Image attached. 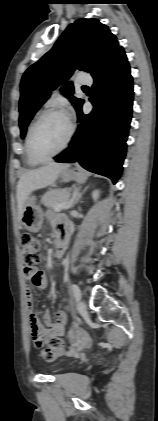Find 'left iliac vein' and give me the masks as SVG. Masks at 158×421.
<instances>
[{
    "instance_id": "1",
    "label": "left iliac vein",
    "mask_w": 158,
    "mask_h": 421,
    "mask_svg": "<svg viewBox=\"0 0 158 421\" xmlns=\"http://www.w3.org/2000/svg\"><path fill=\"white\" fill-rule=\"evenodd\" d=\"M77 308L79 311H85L86 310V303L82 300H78L77 302Z\"/></svg>"
}]
</instances>
